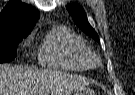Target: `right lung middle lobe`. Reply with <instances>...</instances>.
<instances>
[{
    "label": "right lung middle lobe",
    "mask_w": 135,
    "mask_h": 95,
    "mask_svg": "<svg viewBox=\"0 0 135 95\" xmlns=\"http://www.w3.org/2000/svg\"><path fill=\"white\" fill-rule=\"evenodd\" d=\"M30 31H17L0 35V63L12 61L16 57L18 43Z\"/></svg>",
    "instance_id": "dd1d6c3e"
}]
</instances>
